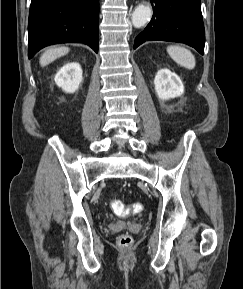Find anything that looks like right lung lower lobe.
<instances>
[{
    "instance_id": "right-lung-lower-lobe-1",
    "label": "right lung lower lobe",
    "mask_w": 243,
    "mask_h": 289,
    "mask_svg": "<svg viewBox=\"0 0 243 289\" xmlns=\"http://www.w3.org/2000/svg\"><path fill=\"white\" fill-rule=\"evenodd\" d=\"M99 0H32L29 59L51 44L84 43L98 52Z\"/></svg>"
}]
</instances>
